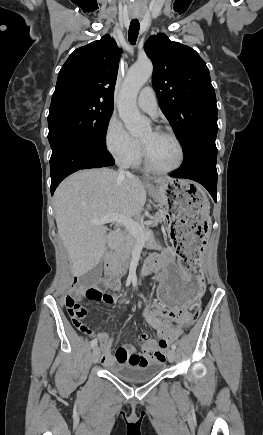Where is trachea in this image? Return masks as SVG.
<instances>
[{"label": "trachea", "mask_w": 263, "mask_h": 435, "mask_svg": "<svg viewBox=\"0 0 263 435\" xmlns=\"http://www.w3.org/2000/svg\"><path fill=\"white\" fill-rule=\"evenodd\" d=\"M139 28H140V24L138 20H132L130 27H129V33H128V37H129V42L131 44H135L138 38V34H139Z\"/></svg>", "instance_id": "trachea-1"}]
</instances>
